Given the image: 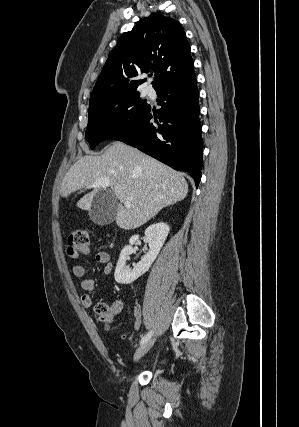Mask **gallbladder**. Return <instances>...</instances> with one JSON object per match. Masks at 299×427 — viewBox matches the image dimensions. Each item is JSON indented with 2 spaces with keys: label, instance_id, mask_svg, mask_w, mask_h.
<instances>
[{
  "label": "gallbladder",
  "instance_id": "bac80fb5",
  "mask_svg": "<svg viewBox=\"0 0 299 427\" xmlns=\"http://www.w3.org/2000/svg\"><path fill=\"white\" fill-rule=\"evenodd\" d=\"M117 215V204L113 193L99 191L93 198L89 209L91 221L97 225H108L112 223Z\"/></svg>",
  "mask_w": 299,
  "mask_h": 427
}]
</instances>
